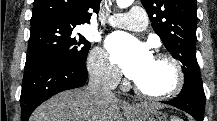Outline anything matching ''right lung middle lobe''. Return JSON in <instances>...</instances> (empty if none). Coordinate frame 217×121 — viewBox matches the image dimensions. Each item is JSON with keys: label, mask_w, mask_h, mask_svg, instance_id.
<instances>
[{"label": "right lung middle lobe", "mask_w": 217, "mask_h": 121, "mask_svg": "<svg viewBox=\"0 0 217 121\" xmlns=\"http://www.w3.org/2000/svg\"><path fill=\"white\" fill-rule=\"evenodd\" d=\"M77 25L56 21L31 24L25 66L41 62H67L85 68L90 43Z\"/></svg>", "instance_id": "dd1d6c3e"}]
</instances>
